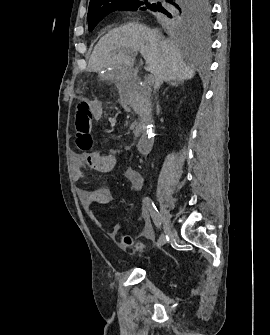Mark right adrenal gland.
<instances>
[{"label": "right adrenal gland", "instance_id": "right-adrenal-gland-1", "mask_svg": "<svg viewBox=\"0 0 270 335\" xmlns=\"http://www.w3.org/2000/svg\"><path fill=\"white\" fill-rule=\"evenodd\" d=\"M169 86H178V84H182L181 80H171V82H168ZM167 90V88H166ZM165 90V92H166ZM165 92H163V94H165Z\"/></svg>", "mask_w": 270, "mask_h": 335}]
</instances>
